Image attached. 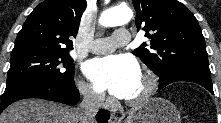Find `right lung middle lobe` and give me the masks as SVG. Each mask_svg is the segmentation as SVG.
<instances>
[{"instance_id":"right-lung-middle-lobe-1","label":"right lung middle lobe","mask_w":221,"mask_h":123,"mask_svg":"<svg viewBox=\"0 0 221 123\" xmlns=\"http://www.w3.org/2000/svg\"><path fill=\"white\" fill-rule=\"evenodd\" d=\"M72 62L66 50L30 48L12 51L7 86L32 80L42 85L73 83Z\"/></svg>"}]
</instances>
